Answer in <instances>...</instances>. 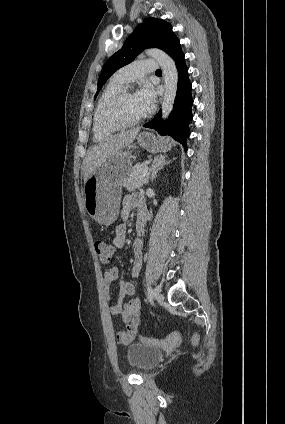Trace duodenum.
Listing matches in <instances>:
<instances>
[{"label":"duodenum","instance_id":"duodenum-1","mask_svg":"<svg viewBox=\"0 0 285 424\" xmlns=\"http://www.w3.org/2000/svg\"><path fill=\"white\" fill-rule=\"evenodd\" d=\"M145 224H146V219H145V218H142V219H140V220L138 221V225H139V230H140V232H143V229H144V227H145Z\"/></svg>","mask_w":285,"mask_h":424}]
</instances>
